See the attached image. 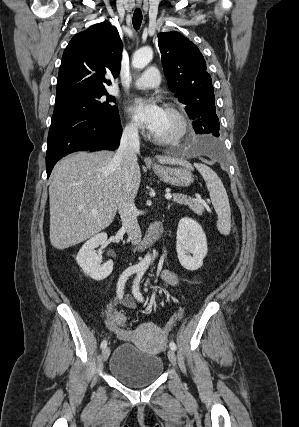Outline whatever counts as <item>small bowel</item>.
Segmentation results:
<instances>
[{"mask_svg":"<svg viewBox=\"0 0 299 427\" xmlns=\"http://www.w3.org/2000/svg\"><path fill=\"white\" fill-rule=\"evenodd\" d=\"M192 279L193 278L181 276L176 272H173L170 270H163L161 273V280L167 286H175L180 283L190 281ZM119 300H120V303L127 308H134L136 306L133 298L128 294L123 295L122 298ZM118 314L120 313L119 312L112 313L111 308L105 309L103 312L105 325L112 333L115 334L117 338L122 340L128 339L132 335L131 331L121 330L115 324L114 319Z\"/></svg>","mask_w":299,"mask_h":427,"instance_id":"1","label":"small bowel"}]
</instances>
